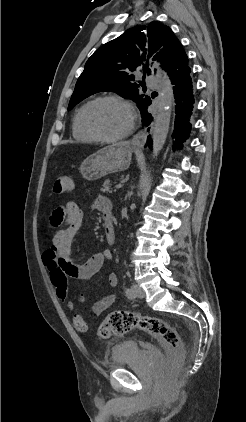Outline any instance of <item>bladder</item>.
Here are the masks:
<instances>
[{"mask_svg":"<svg viewBox=\"0 0 246 422\" xmlns=\"http://www.w3.org/2000/svg\"><path fill=\"white\" fill-rule=\"evenodd\" d=\"M141 355V347L135 340H123L110 348V366L122 368L138 362ZM151 360L155 367L163 369L166 365L164 353L159 349L151 351Z\"/></svg>","mask_w":246,"mask_h":422,"instance_id":"31cf9c89","label":"bladder"}]
</instances>
